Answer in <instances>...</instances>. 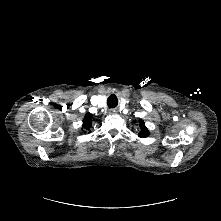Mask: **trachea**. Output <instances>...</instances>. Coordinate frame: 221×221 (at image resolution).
Listing matches in <instances>:
<instances>
[{
    "mask_svg": "<svg viewBox=\"0 0 221 221\" xmlns=\"http://www.w3.org/2000/svg\"><path fill=\"white\" fill-rule=\"evenodd\" d=\"M108 106L110 107V108H114V107H116V105H117V102H116V100H111V98L108 100Z\"/></svg>",
    "mask_w": 221,
    "mask_h": 221,
    "instance_id": "1",
    "label": "trachea"
}]
</instances>
